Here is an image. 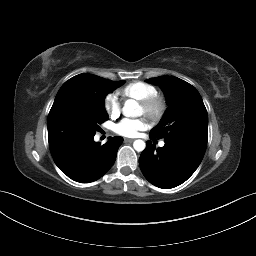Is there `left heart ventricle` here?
Masks as SVG:
<instances>
[{"label": "left heart ventricle", "mask_w": 256, "mask_h": 256, "mask_svg": "<svg viewBox=\"0 0 256 256\" xmlns=\"http://www.w3.org/2000/svg\"><path fill=\"white\" fill-rule=\"evenodd\" d=\"M140 113L143 114L144 113V110L143 108L140 106Z\"/></svg>", "instance_id": "obj_1"}]
</instances>
